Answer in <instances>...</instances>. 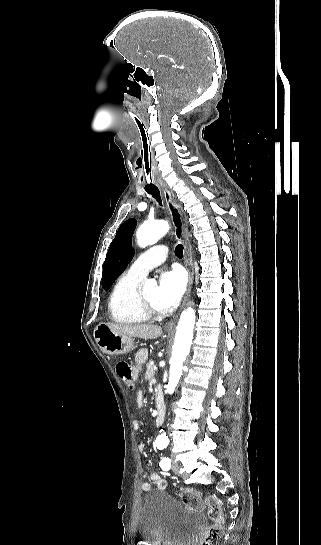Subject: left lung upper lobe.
Masks as SVG:
<instances>
[{"label": "left lung upper lobe", "instance_id": "5c2ea615", "mask_svg": "<svg viewBox=\"0 0 321 545\" xmlns=\"http://www.w3.org/2000/svg\"><path fill=\"white\" fill-rule=\"evenodd\" d=\"M136 224L135 219L125 221L109 247L102 275V288L106 291L133 258L131 241Z\"/></svg>", "mask_w": 321, "mask_h": 545}]
</instances>
